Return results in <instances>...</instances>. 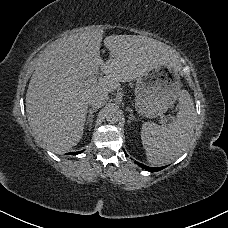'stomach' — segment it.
Segmentation results:
<instances>
[{"mask_svg":"<svg viewBox=\"0 0 228 228\" xmlns=\"http://www.w3.org/2000/svg\"><path fill=\"white\" fill-rule=\"evenodd\" d=\"M180 88L178 71L164 65L153 68L136 81V108L145 118H158L173 106Z\"/></svg>","mask_w":228,"mask_h":228,"instance_id":"stomach-1","label":"stomach"}]
</instances>
